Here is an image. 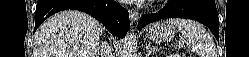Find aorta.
Returning a JSON list of instances; mask_svg holds the SVG:
<instances>
[{"label": "aorta", "instance_id": "obj_1", "mask_svg": "<svg viewBox=\"0 0 249 57\" xmlns=\"http://www.w3.org/2000/svg\"><path fill=\"white\" fill-rule=\"evenodd\" d=\"M136 55V43L133 32L127 33L123 40V57H135Z\"/></svg>", "mask_w": 249, "mask_h": 57}]
</instances>
